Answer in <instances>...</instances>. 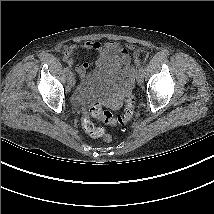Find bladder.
I'll use <instances>...</instances> for the list:
<instances>
[{"instance_id": "31cf9c89", "label": "bladder", "mask_w": 214, "mask_h": 214, "mask_svg": "<svg viewBox=\"0 0 214 214\" xmlns=\"http://www.w3.org/2000/svg\"><path fill=\"white\" fill-rule=\"evenodd\" d=\"M87 76L77 87L74 98L81 103L92 98H105L110 94L121 93L128 87V76L122 64L110 66Z\"/></svg>"}]
</instances>
